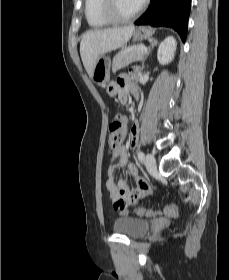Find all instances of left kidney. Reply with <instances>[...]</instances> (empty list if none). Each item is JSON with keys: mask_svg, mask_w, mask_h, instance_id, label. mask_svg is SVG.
Instances as JSON below:
<instances>
[{"mask_svg": "<svg viewBox=\"0 0 229 280\" xmlns=\"http://www.w3.org/2000/svg\"><path fill=\"white\" fill-rule=\"evenodd\" d=\"M176 46H177V43L173 36L167 37L160 44V46L158 48V52H157V59L160 64L166 65L173 60Z\"/></svg>", "mask_w": 229, "mask_h": 280, "instance_id": "left-kidney-1", "label": "left kidney"}]
</instances>
